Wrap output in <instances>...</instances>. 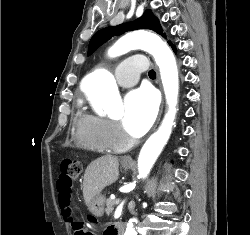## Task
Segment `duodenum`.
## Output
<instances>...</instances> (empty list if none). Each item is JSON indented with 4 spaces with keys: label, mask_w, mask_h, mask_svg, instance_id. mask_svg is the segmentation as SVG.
<instances>
[{
    "label": "duodenum",
    "mask_w": 250,
    "mask_h": 235,
    "mask_svg": "<svg viewBox=\"0 0 250 235\" xmlns=\"http://www.w3.org/2000/svg\"><path fill=\"white\" fill-rule=\"evenodd\" d=\"M123 225L120 224L118 226H114L111 231L109 232L110 235H122L123 234Z\"/></svg>",
    "instance_id": "obj_1"
}]
</instances>
